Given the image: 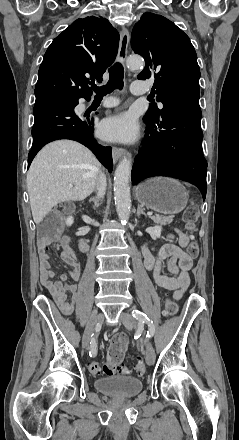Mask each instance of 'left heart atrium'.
Returning a JSON list of instances; mask_svg holds the SVG:
<instances>
[{
	"instance_id": "left-heart-atrium-1",
	"label": "left heart atrium",
	"mask_w": 239,
	"mask_h": 440,
	"mask_svg": "<svg viewBox=\"0 0 239 440\" xmlns=\"http://www.w3.org/2000/svg\"><path fill=\"white\" fill-rule=\"evenodd\" d=\"M101 133L112 141L131 142L138 135V124L130 112H123L105 119L101 124Z\"/></svg>"
}]
</instances>
